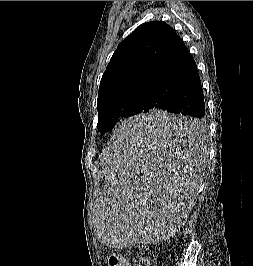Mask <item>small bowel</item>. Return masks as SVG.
<instances>
[{
	"label": "small bowel",
	"instance_id": "c3829d8e",
	"mask_svg": "<svg viewBox=\"0 0 253 266\" xmlns=\"http://www.w3.org/2000/svg\"><path fill=\"white\" fill-rule=\"evenodd\" d=\"M128 266H140L136 261H133L132 263H128Z\"/></svg>",
	"mask_w": 253,
	"mask_h": 266
}]
</instances>
